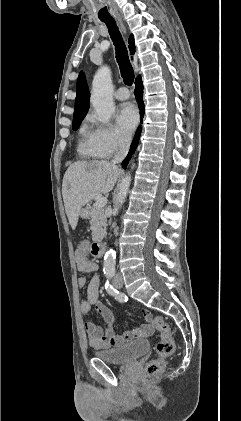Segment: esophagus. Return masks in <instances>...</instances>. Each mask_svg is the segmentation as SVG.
<instances>
[{"instance_id": "1", "label": "esophagus", "mask_w": 241, "mask_h": 421, "mask_svg": "<svg viewBox=\"0 0 241 421\" xmlns=\"http://www.w3.org/2000/svg\"><path fill=\"white\" fill-rule=\"evenodd\" d=\"M117 20H118V23L120 24V26H121V29L124 31V32H126V30H125V26H124V24H123V22H122V19L121 18H117Z\"/></svg>"}]
</instances>
